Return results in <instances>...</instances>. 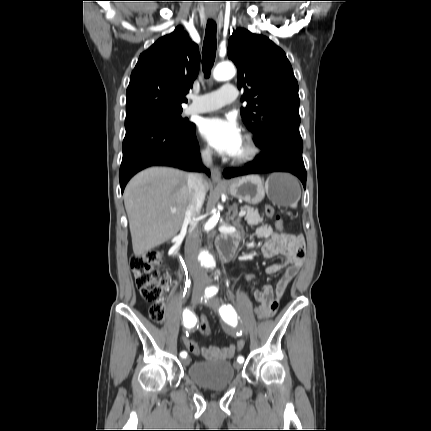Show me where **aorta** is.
<instances>
[{
  "instance_id": "obj_1",
  "label": "aorta",
  "mask_w": 431,
  "mask_h": 431,
  "mask_svg": "<svg viewBox=\"0 0 431 431\" xmlns=\"http://www.w3.org/2000/svg\"><path fill=\"white\" fill-rule=\"evenodd\" d=\"M235 73V68L231 63H221L215 67L213 76L217 81H225L233 78ZM218 220L219 213L215 212L213 216H211L209 220L205 222V226L203 227V233L210 234L212 231H214ZM198 260L201 267L209 270L216 269V260L207 249H202L200 251Z\"/></svg>"
}]
</instances>
